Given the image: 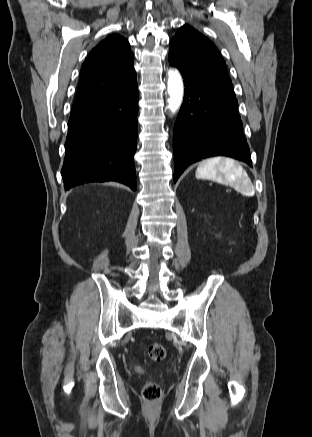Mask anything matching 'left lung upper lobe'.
<instances>
[{
    "mask_svg": "<svg viewBox=\"0 0 312 437\" xmlns=\"http://www.w3.org/2000/svg\"><path fill=\"white\" fill-rule=\"evenodd\" d=\"M183 68L235 96L226 63L217 47L194 28L184 25L170 41L169 56Z\"/></svg>",
    "mask_w": 312,
    "mask_h": 437,
    "instance_id": "left-lung-upper-lobe-1",
    "label": "left lung upper lobe"
}]
</instances>
